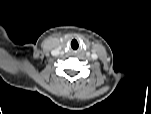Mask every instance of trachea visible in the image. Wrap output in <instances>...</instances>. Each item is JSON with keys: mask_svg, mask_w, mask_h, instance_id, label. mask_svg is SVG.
Masks as SVG:
<instances>
[{"mask_svg": "<svg viewBox=\"0 0 151 114\" xmlns=\"http://www.w3.org/2000/svg\"><path fill=\"white\" fill-rule=\"evenodd\" d=\"M71 47H72L73 49H77L78 46H77V47H74V46H73V43H71Z\"/></svg>", "mask_w": 151, "mask_h": 114, "instance_id": "1", "label": "trachea"}]
</instances>
